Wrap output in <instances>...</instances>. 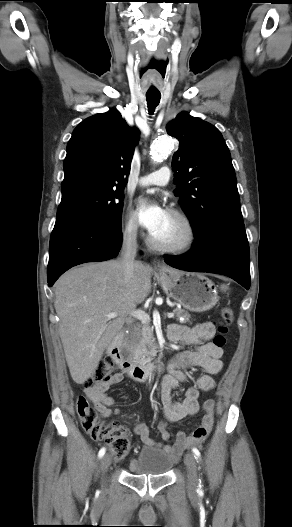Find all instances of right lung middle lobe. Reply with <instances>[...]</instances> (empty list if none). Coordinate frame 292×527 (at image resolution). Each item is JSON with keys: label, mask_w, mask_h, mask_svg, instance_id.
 Listing matches in <instances>:
<instances>
[{"label": "right lung middle lobe", "mask_w": 292, "mask_h": 527, "mask_svg": "<svg viewBox=\"0 0 292 527\" xmlns=\"http://www.w3.org/2000/svg\"><path fill=\"white\" fill-rule=\"evenodd\" d=\"M123 188L85 179L62 183V199L57 216H87L116 229H121Z\"/></svg>", "instance_id": "1"}]
</instances>
